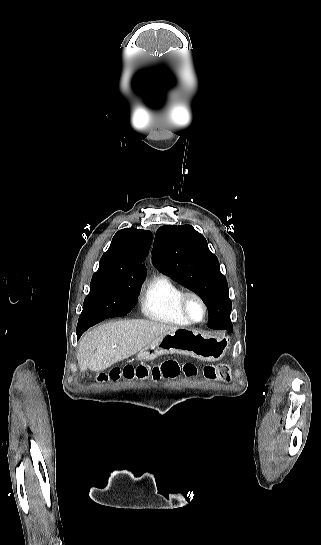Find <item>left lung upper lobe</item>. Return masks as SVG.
I'll return each mask as SVG.
<instances>
[{"instance_id": "obj_1", "label": "left lung upper lobe", "mask_w": 321, "mask_h": 545, "mask_svg": "<svg viewBox=\"0 0 321 545\" xmlns=\"http://www.w3.org/2000/svg\"><path fill=\"white\" fill-rule=\"evenodd\" d=\"M153 263L163 274L195 292L208 310L230 316L232 303L217 257L190 225L162 226L155 235Z\"/></svg>"}]
</instances>
